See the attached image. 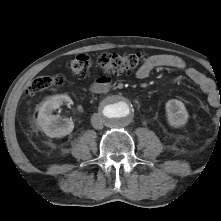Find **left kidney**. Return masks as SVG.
Masks as SVG:
<instances>
[{"label": "left kidney", "mask_w": 221, "mask_h": 221, "mask_svg": "<svg viewBox=\"0 0 221 221\" xmlns=\"http://www.w3.org/2000/svg\"><path fill=\"white\" fill-rule=\"evenodd\" d=\"M165 108L167 121L170 126L179 128L187 123L189 115L183 102L171 99L166 103Z\"/></svg>", "instance_id": "5707ae66"}]
</instances>
